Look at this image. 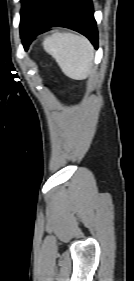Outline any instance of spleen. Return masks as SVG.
Listing matches in <instances>:
<instances>
[{
    "instance_id": "obj_1",
    "label": "spleen",
    "mask_w": 134,
    "mask_h": 281,
    "mask_svg": "<svg viewBox=\"0 0 134 281\" xmlns=\"http://www.w3.org/2000/svg\"><path fill=\"white\" fill-rule=\"evenodd\" d=\"M43 47L69 78L84 80L91 74L94 49L85 37L73 33L56 32L45 38Z\"/></svg>"
}]
</instances>
